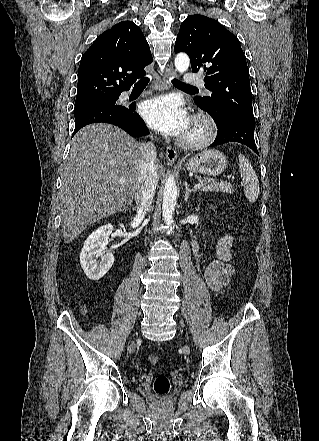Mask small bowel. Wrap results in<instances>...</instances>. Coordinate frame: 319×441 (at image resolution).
Here are the masks:
<instances>
[{"label": "small bowel", "instance_id": "small-bowel-1", "mask_svg": "<svg viewBox=\"0 0 319 441\" xmlns=\"http://www.w3.org/2000/svg\"><path fill=\"white\" fill-rule=\"evenodd\" d=\"M233 238L226 235L217 244L216 252L218 260L210 263L205 270V281L213 291H219L225 287L233 274V267L229 264L232 258L231 248ZM192 249L195 256H198L199 245L196 237L192 240Z\"/></svg>", "mask_w": 319, "mask_h": 441}]
</instances>
